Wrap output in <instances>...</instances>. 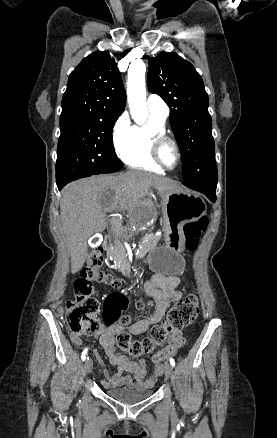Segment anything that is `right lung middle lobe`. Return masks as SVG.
Wrapping results in <instances>:
<instances>
[{
  "mask_svg": "<svg viewBox=\"0 0 277 438\" xmlns=\"http://www.w3.org/2000/svg\"><path fill=\"white\" fill-rule=\"evenodd\" d=\"M115 121L78 116L60 118L57 183L114 173L123 167L113 147Z\"/></svg>",
  "mask_w": 277,
  "mask_h": 438,
  "instance_id": "dd1d6c3e",
  "label": "right lung middle lobe"
}]
</instances>
